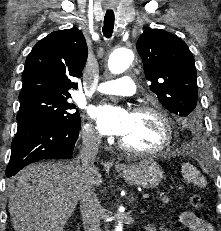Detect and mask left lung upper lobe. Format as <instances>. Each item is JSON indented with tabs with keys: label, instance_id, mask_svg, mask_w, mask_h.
Masks as SVG:
<instances>
[{
	"label": "left lung upper lobe",
	"instance_id": "5c2ea615",
	"mask_svg": "<svg viewBox=\"0 0 221 231\" xmlns=\"http://www.w3.org/2000/svg\"><path fill=\"white\" fill-rule=\"evenodd\" d=\"M146 79L158 100L171 113L191 116L198 87L194 57L184 41L164 30L146 29L137 41Z\"/></svg>",
	"mask_w": 221,
	"mask_h": 231
}]
</instances>
